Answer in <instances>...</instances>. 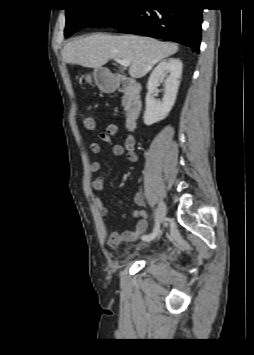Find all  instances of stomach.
Here are the masks:
<instances>
[{"label":"stomach","instance_id":"1","mask_svg":"<svg viewBox=\"0 0 254 355\" xmlns=\"http://www.w3.org/2000/svg\"><path fill=\"white\" fill-rule=\"evenodd\" d=\"M92 78H93L95 84L98 85V87L100 89L109 90L114 87V83H113L110 75L108 74L107 70H105L103 68L95 69L91 75H87L86 81L91 83Z\"/></svg>","mask_w":254,"mask_h":355}]
</instances>
